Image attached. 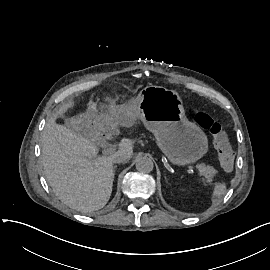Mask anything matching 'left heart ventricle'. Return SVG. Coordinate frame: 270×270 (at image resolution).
Returning a JSON list of instances; mask_svg holds the SVG:
<instances>
[{
	"mask_svg": "<svg viewBox=\"0 0 270 270\" xmlns=\"http://www.w3.org/2000/svg\"><path fill=\"white\" fill-rule=\"evenodd\" d=\"M177 139H180V135H177Z\"/></svg>",
	"mask_w": 270,
	"mask_h": 270,
	"instance_id": "b2bd125f",
	"label": "left heart ventricle"
}]
</instances>
